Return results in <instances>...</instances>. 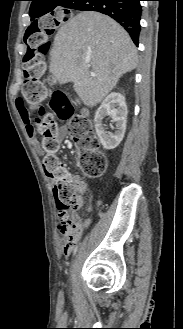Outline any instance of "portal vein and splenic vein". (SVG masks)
I'll return each mask as SVG.
<instances>
[{
    "instance_id": "1",
    "label": "portal vein and splenic vein",
    "mask_w": 183,
    "mask_h": 329,
    "mask_svg": "<svg viewBox=\"0 0 183 329\" xmlns=\"http://www.w3.org/2000/svg\"><path fill=\"white\" fill-rule=\"evenodd\" d=\"M91 76H95V74L94 73H91Z\"/></svg>"
}]
</instances>
